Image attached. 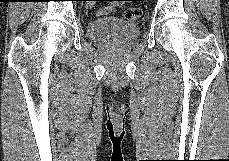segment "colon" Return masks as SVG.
Masks as SVG:
<instances>
[{
  "label": "colon",
  "instance_id": "1",
  "mask_svg": "<svg viewBox=\"0 0 229 161\" xmlns=\"http://www.w3.org/2000/svg\"><path fill=\"white\" fill-rule=\"evenodd\" d=\"M95 1H98V0H89L90 2L89 6L92 7ZM141 14H142V11L140 8H129L125 12V17L128 20H137L141 17Z\"/></svg>",
  "mask_w": 229,
  "mask_h": 161
}]
</instances>
